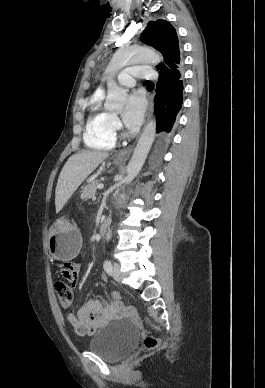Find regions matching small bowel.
I'll return each instance as SVG.
<instances>
[{"label":"small bowel","instance_id":"small-bowel-1","mask_svg":"<svg viewBox=\"0 0 265 388\" xmlns=\"http://www.w3.org/2000/svg\"><path fill=\"white\" fill-rule=\"evenodd\" d=\"M81 264L69 260L61 266L63 277L75 287L78 284ZM107 281V277H103ZM121 304L107 303L104 300L93 298L83 303L75 312L69 313L67 318L77 334L81 336L94 334L99 328L110 321L121 317Z\"/></svg>","mask_w":265,"mask_h":388}]
</instances>
